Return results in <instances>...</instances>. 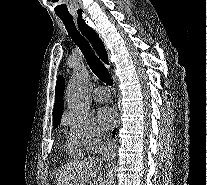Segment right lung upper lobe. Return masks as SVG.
<instances>
[{"label": "right lung upper lobe", "mask_w": 207, "mask_h": 185, "mask_svg": "<svg viewBox=\"0 0 207 185\" xmlns=\"http://www.w3.org/2000/svg\"><path fill=\"white\" fill-rule=\"evenodd\" d=\"M63 92H64V78L59 76L57 78L56 90H55V105L53 110V125L58 127L63 113Z\"/></svg>", "instance_id": "obj_1"}]
</instances>
